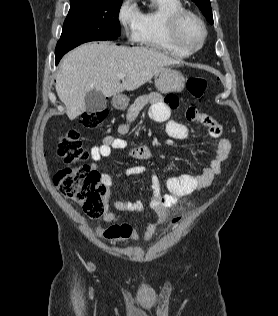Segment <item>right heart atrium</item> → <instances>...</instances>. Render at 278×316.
Returning a JSON list of instances; mask_svg holds the SVG:
<instances>
[{"mask_svg": "<svg viewBox=\"0 0 278 316\" xmlns=\"http://www.w3.org/2000/svg\"><path fill=\"white\" fill-rule=\"evenodd\" d=\"M117 21L123 35L131 42L137 41L141 11L135 0H121L117 10Z\"/></svg>", "mask_w": 278, "mask_h": 316, "instance_id": "obj_1", "label": "right heart atrium"}]
</instances>
